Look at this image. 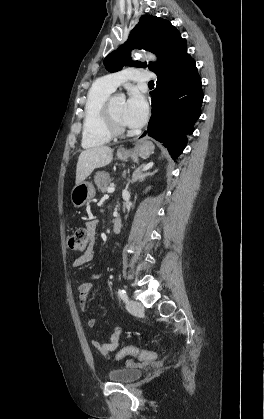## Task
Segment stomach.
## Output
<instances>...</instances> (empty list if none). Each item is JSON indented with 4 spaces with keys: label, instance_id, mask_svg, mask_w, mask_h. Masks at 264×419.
<instances>
[{
    "label": "stomach",
    "instance_id": "stomach-1",
    "mask_svg": "<svg viewBox=\"0 0 264 419\" xmlns=\"http://www.w3.org/2000/svg\"><path fill=\"white\" fill-rule=\"evenodd\" d=\"M154 152V145L152 142L144 140L137 144L133 153L140 157H148ZM131 153L120 154L117 156L120 160H127ZM95 196V188L91 182L83 181L74 186L71 191V202L74 207L80 208L89 202Z\"/></svg>",
    "mask_w": 264,
    "mask_h": 419
}]
</instances>
